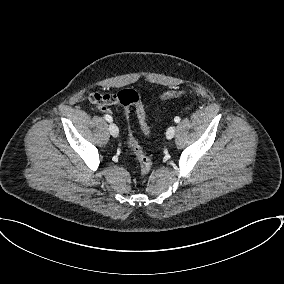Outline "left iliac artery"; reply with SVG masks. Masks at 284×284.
I'll return each instance as SVG.
<instances>
[{"label":"left iliac artery","mask_w":284,"mask_h":284,"mask_svg":"<svg viewBox=\"0 0 284 284\" xmlns=\"http://www.w3.org/2000/svg\"><path fill=\"white\" fill-rule=\"evenodd\" d=\"M174 121H175L176 123H179V122H180V117L176 116V117L174 118Z\"/></svg>","instance_id":"left-iliac-artery-1"}]
</instances>
